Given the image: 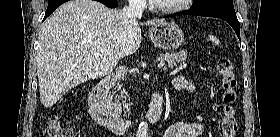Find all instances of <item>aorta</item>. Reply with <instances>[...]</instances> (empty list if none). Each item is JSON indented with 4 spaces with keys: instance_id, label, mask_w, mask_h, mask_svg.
I'll return each instance as SVG.
<instances>
[{
    "instance_id": "1",
    "label": "aorta",
    "mask_w": 280,
    "mask_h": 137,
    "mask_svg": "<svg viewBox=\"0 0 280 137\" xmlns=\"http://www.w3.org/2000/svg\"><path fill=\"white\" fill-rule=\"evenodd\" d=\"M147 135H148V124L146 123V121H141L138 126L136 137H147Z\"/></svg>"
}]
</instances>
